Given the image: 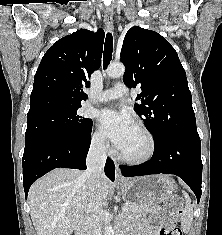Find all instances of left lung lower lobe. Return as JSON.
<instances>
[{"instance_id":"0a47b994","label":"left lung lower lobe","mask_w":222,"mask_h":235,"mask_svg":"<svg viewBox=\"0 0 222 235\" xmlns=\"http://www.w3.org/2000/svg\"><path fill=\"white\" fill-rule=\"evenodd\" d=\"M125 177L174 174L182 178L200 201L202 161L200 138L175 134L155 143L150 161L137 166H120Z\"/></svg>"}]
</instances>
